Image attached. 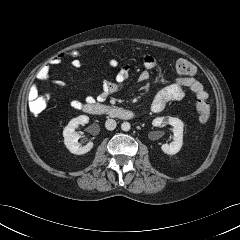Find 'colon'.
Segmentation results:
<instances>
[{
  "label": "colon",
  "mask_w": 240,
  "mask_h": 240,
  "mask_svg": "<svg viewBox=\"0 0 240 240\" xmlns=\"http://www.w3.org/2000/svg\"><path fill=\"white\" fill-rule=\"evenodd\" d=\"M63 55L74 67H80L85 62V52L79 47L71 48L64 52ZM175 68L178 73L183 75H192L195 72L194 65L186 59H178L175 63ZM46 107V97L29 99V108L33 114H40ZM196 111L201 124H205L210 120L211 109L208 101L198 100L196 103Z\"/></svg>",
  "instance_id": "5ec220e1"
}]
</instances>
